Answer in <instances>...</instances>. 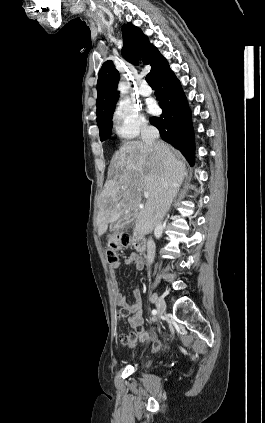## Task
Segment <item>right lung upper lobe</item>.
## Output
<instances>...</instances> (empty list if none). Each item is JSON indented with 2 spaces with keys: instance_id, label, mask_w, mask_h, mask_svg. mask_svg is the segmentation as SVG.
<instances>
[{
  "instance_id": "right-lung-upper-lobe-1",
  "label": "right lung upper lobe",
  "mask_w": 265,
  "mask_h": 423,
  "mask_svg": "<svg viewBox=\"0 0 265 423\" xmlns=\"http://www.w3.org/2000/svg\"><path fill=\"white\" fill-rule=\"evenodd\" d=\"M122 33L124 39L123 57L129 62L137 64L138 56H142L143 62L152 66L150 74L153 78L156 72L167 63L166 59L154 45L150 44L147 36L138 27L126 23L122 27ZM118 80L119 73L112 61H106L99 71L97 81V124L101 123L115 109L119 98L117 92Z\"/></svg>"
}]
</instances>
